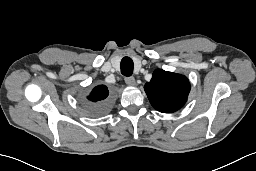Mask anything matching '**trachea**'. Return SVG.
Segmentation results:
<instances>
[{"mask_svg": "<svg viewBox=\"0 0 256 171\" xmlns=\"http://www.w3.org/2000/svg\"><path fill=\"white\" fill-rule=\"evenodd\" d=\"M120 66L124 76L129 77L133 74L134 63L130 57H123Z\"/></svg>", "mask_w": 256, "mask_h": 171, "instance_id": "3493384b", "label": "trachea"}]
</instances>
